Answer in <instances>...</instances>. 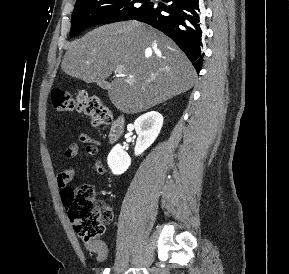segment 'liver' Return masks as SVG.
Returning a JSON list of instances; mask_svg holds the SVG:
<instances>
[{"instance_id":"6515ba94","label":"liver","mask_w":289,"mask_h":274,"mask_svg":"<svg viewBox=\"0 0 289 274\" xmlns=\"http://www.w3.org/2000/svg\"><path fill=\"white\" fill-rule=\"evenodd\" d=\"M121 77L108 87L112 104L135 114L190 90L196 72L167 36L138 21L103 25L68 45L61 68L87 83L105 81L118 67Z\"/></svg>"}]
</instances>
